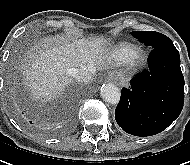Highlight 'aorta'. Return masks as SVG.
Returning a JSON list of instances; mask_svg holds the SVG:
<instances>
[{
    "label": "aorta",
    "mask_w": 190,
    "mask_h": 165,
    "mask_svg": "<svg viewBox=\"0 0 190 165\" xmlns=\"http://www.w3.org/2000/svg\"><path fill=\"white\" fill-rule=\"evenodd\" d=\"M101 97L108 103L116 105L120 100V90L113 83L103 84L100 91Z\"/></svg>",
    "instance_id": "aorta-1"
}]
</instances>
